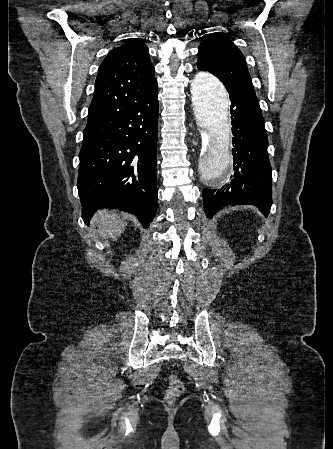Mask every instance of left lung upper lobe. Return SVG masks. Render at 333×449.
Masks as SVG:
<instances>
[{"mask_svg":"<svg viewBox=\"0 0 333 449\" xmlns=\"http://www.w3.org/2000/svg\"><path fill=\"white\" fill-rule=\"evenodd\" d=\"M204 37L198 48V69L218 77L227 91L234 90L257 100L245 57L237 46L215 34Z\"/></svg>","mask_w":333,"mask_h":449,"instance_id":"obj_1","label":"left lung upper lobe"}]
</instances>
